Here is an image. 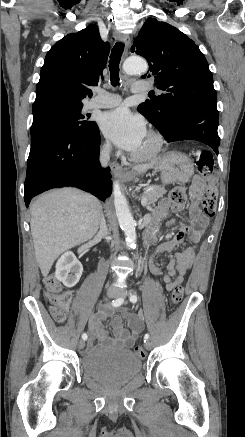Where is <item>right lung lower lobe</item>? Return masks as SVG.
<instances>
[{
	"mask_svg": "<svg viewBox=\"0 0 245 437\" xmlns=\"http://www.w3.org/2000/svg\"><path fill=\"white\" fill-rule=\"evenodd\" d=\"M99 146L97 124L76 134L49 128L31 139L24 184L26 206L34 196L65 186L78 187L101 200L110 196V169L99 164Z\"/></svg>",
	"mask_w": 245,
	"mask_h": 437,
	"instance_id": "obj_1",
	"label": "right lung lower lobe"
}]
</instances>
